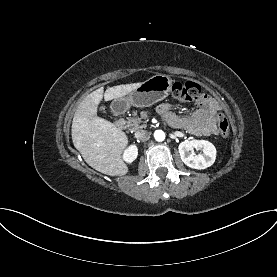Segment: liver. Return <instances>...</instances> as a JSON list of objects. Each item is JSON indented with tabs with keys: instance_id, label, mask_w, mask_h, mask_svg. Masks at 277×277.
I'll return each instance as SVG.
<instances>
[{
	"instance_id": "liver-1",
	"label": "liver",
	"mask_w": 277,
	"mask_h": 277,
	"mask_svg": "<svg viewBox=\"0 0 277 277\" xmlns=\"http://www.w3.org/2000/svg\"><path fill=\"white\" fill-rule=\"evenodd\" d=\"M141 83L100 87L88 94L78 105L72 121V141L85 162L95 170L119 176L128 172L122 153L128 145L127 135L113 123L97 116L98 105L128 95Z\"/></svg>"
}]
</instances>
